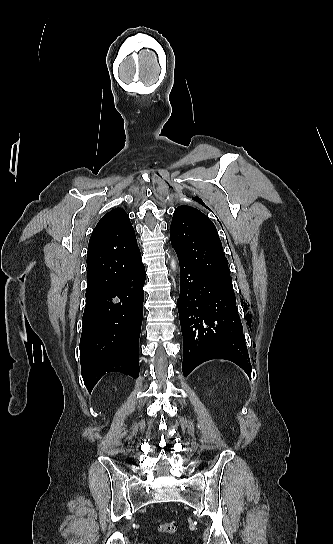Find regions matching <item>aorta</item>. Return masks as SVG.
Segmentation results:
<instances>
[{
	"label": "aorta",
	"mask_w": 333,
	"mask_h": 544,
	"mask_svg": "<svg viewBox=\"0 0 333 544\" xmlns=\"http://www.w3.org/2000/svg\"><path fill=\"white\" fill-rule=\"evenodd\" d=\"M172 267H173V268L175 267L174 261L172 262Z\"/></svg>",
	"instance_id": "obj_1"
}]
</instances>
